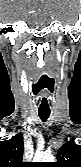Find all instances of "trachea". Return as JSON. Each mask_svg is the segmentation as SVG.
I'll use <instances>...</instances> for the list:
<instances>
[{
	"label": "trachea",
	"mask_w": 81,
	"mask_h": 167,
	"mask_svg": "<svg viewBox=\"0 0 81 167\" xmlns=\"http://www.w3.org/2000/svg\"><path fill=\"white\" fill-rule=\"evenodd\" d=\"M38 113H39L40 119L43 122H45L48 119L49 115H50V111H39Z\"/></svg>",
	"instance_id": "obj_1"
}]
</instances>
